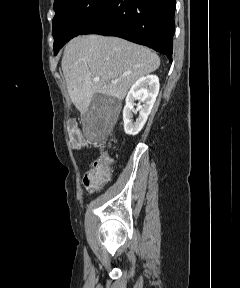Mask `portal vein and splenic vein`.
<instances>
[{
  "label": "portal vein and splenic vein",
  "instance_id": "portal-vein-and-splenic-vein-1",
  "mask_svg": "<svg viewBox=\"0 0 240 288\" xmlns=\"http://www.w3.org/2000/svg\"><path fill=\"white\" fill-rule=\"evenodd\" d=\"M99 79H100V77L97 76V77H94V78H93V81H99ZM112 82H114V81H112Z\"/></svg>",
  "mask_w": 240,
  "mask_h": 288
}]
</instances>
